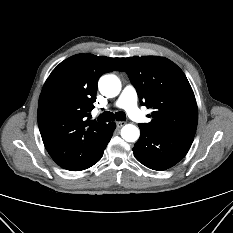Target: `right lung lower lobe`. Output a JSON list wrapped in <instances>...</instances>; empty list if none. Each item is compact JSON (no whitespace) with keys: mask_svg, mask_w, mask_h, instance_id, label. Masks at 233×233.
I'll return each mask as SVG.
<instances>
[{"mask_svg":"<svg viewBox=\"0 0 233 233\" xmlns=\"http://www.w3.org/2000/svg\"><path fill=\"white\" fill-rule=\"evenodd\" d=\"M114 129H115L114 123L107 124L106 130H105L102 138L100 139L98 152H97L96 156L94 157L93 161L85 169L93 166L95 163H97L101 159V157L103 156V152H104L108 142L110 141V139L112 137Z\"/></svg>","mask_w":233,"mask_h":233,"instance_id":"1","label":"right lung lower lobe"}]
</instances>
